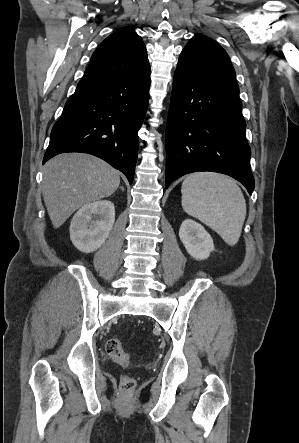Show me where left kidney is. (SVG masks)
<instances>
[{"label": "left kidney", "mask_w": 299, "mask_h": 443, "mask_svg": "<svg viewBox=\"0 0 299 443\" xmlns=\"http://www.w3.org/2000/svg\"><path fill=\"white\" fill-rule=\"evenodd\" d=\"M179 237L187 252L197 260L208 258L214 250L210 234L194 220L187 219L182 222Z\"/></svg>", "instance_id": "obj_1"}]
</instances>
